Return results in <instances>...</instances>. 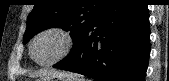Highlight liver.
<instances>
[{"label":"liver","instance_id":"6515ba94","mask_svg":"<svg viewBox=\"0 0 169 81\" xmlns=\"http://www.w3.org/2000/svg\"><path fill=\"white\" fill-rule=\"evenodd\" d=\"M62 75V73L60 72H56V71H42V72H38L35 74V76H40V77H44V76H49V75Z\"/></svg>","mask_w":169,"mask_h":81}]
</instances>
